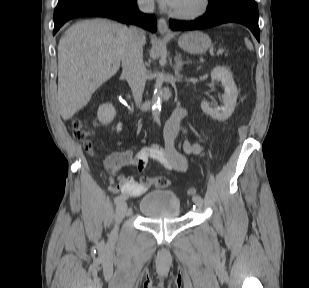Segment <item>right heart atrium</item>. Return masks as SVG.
<instances>
[{
  "label": "right heart atrium",
  "mask_w": 309,
  "mask_h": 288,
  "mask_svg": "<svg viewBox=\"0 0 309 288\" xmlns=\"http://www.w3.org/2000/svg\"><path fill=\"white\" fill-rule=\"evenodd\" d=\"M137 4L143 9H151L154 6L153 0H137Z\"/></svg>",
  "instance_id": "d8ad5b80"
}]
</instances>
